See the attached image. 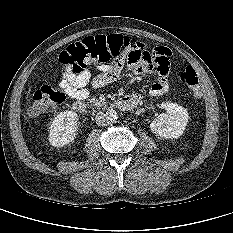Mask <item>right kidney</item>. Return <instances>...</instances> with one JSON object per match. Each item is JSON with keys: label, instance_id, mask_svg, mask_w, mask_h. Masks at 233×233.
<instances>
[{"label": "right kidney", "instance_id": "obj_1", "mask_svg": "<svg viewBox=\"0 0 233 233\" xmlns=\"http://www.w3.org/2000/svg\"><path fill=\"white\" fill-rule=\"evenodd\" d=\"M77 123L78 115L75 112H60L50 126V144L54 147H63L72 142L76 137Z\"/></svg>", "mask_w": 233, "mask_h": 233}]
</instances>
